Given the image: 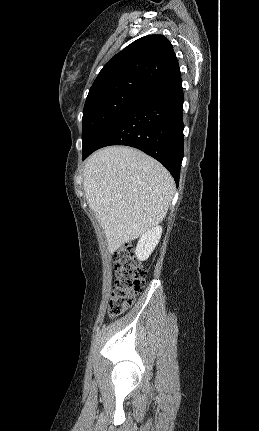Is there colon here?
I'll return each mask as SVG.
<instances>
[{"mask_svg": "<svg viewBox=\"0 0 259 431\" xmlns=\"http://www.w3.org/2000/svg\"><path fill=\"white\" fill-rule=\"evenodd\" d=\"M115 280L112 286L108 313L114 318L131 307L144 289L146 269L137 260L134 247L125 243L112 256Z\"/></svg>", "mask_w": 259, "mask_h": 431, "instance_id": "5ec220e1", "label": "colon"}]
</instances>
